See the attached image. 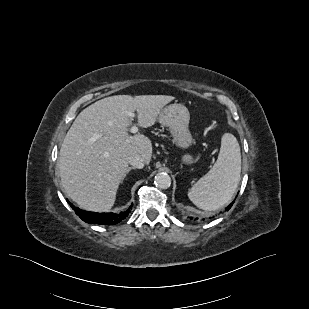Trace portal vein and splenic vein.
<instances>
[{"label":"portal vein and splenic vein","mask_w":309,"mask_h":309,"mask_svg":"<svg viewBox=\"0 0 309 309\" xmlns=\"http://www.w3.org/2000/svg\"><path fill=\"white\" fill-rule=\"evenodd\" d=\"M129 116L130 117H134V113H129ZM138 131V128L136 126H133L131 129H130V132L131 133H136Z\"/></svg>","instance_id":"obj_1"}]
</instances>
